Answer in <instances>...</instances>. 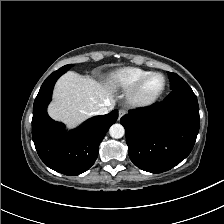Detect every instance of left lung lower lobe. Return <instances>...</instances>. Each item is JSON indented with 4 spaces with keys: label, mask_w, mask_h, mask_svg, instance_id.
I'll return each mask as SVG.
<instances>
[{
    "label": "left lung lower lobe",
    "mask_w": 224,
    "mask_h": 224,
    "mask_svg": "<svg viewBox=\"0 0 224 224\" xmlns=\"http://www.w3.org/2000/svg\"><path fill=\"white\" fill-rule=\"evenodd\" d=\"M121 124L131 161L151 173L168 171L191 152L199 131L197 97L186 83L150 107L129 111Z\"/></svg>",
    "instance_id": "1"
}]
</instances>
